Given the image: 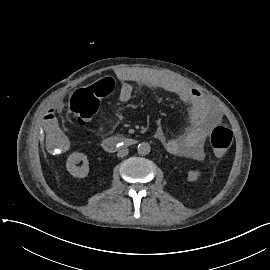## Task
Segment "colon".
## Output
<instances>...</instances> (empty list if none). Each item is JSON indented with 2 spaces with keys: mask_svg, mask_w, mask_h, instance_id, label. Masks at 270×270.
<instances>
[{
  "mask_svg": "<svg viewBox=\"0 0 270 270\" xmlns=\"http://www.w3.org/2000/svg\"><path fill=\"white\" fill-rule=\"evenodd\" d=\"M114 85L110 76L102 78L101 82L87 87L78 88L71 96L69 109L73 118L80 125L93 120L99 109L100 100L108 96ZM233 140L232 130L223 125L216 126L210 133V142L213 153L217 157L225 155Z\"/></svg>",
  "mask_w": 270,
  "mask_h": 270,
  "instance_id": "1",
  "label": "colon"
}]
</instances>
